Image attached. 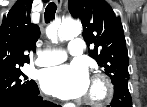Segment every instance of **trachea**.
Segmentation results:
<instances>
[{
	"label": "trachea",
	"mask_w": 147,
	"mask_h": 107,
	"mask_svg": "<svg viewBox=\"0 0 147 107\" xmlns=\"http://www.w3.org/2000/svg\"><path fill=\"white\" fill-rule=\"evenodd\" d=\"M56 10L57 6L54 2H51L47 5L44 13L46 23H49L51 20H53V18H55Z\"/></svg>",
	"instance_id": "trachea-1"
}]
</instances>
